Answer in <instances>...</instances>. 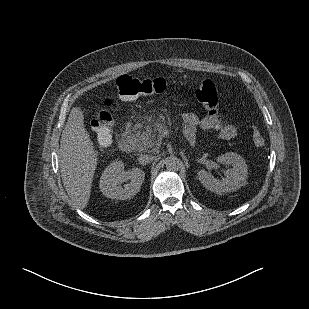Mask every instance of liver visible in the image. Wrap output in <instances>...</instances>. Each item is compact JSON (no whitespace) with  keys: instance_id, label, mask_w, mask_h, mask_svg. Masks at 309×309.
<instances>
[{"instance_id":"1","label":"liver","mask_w":309,"mask_h":309,"mask_svg":"<svg viewBox=\"0 0 309 309\" xmlns=\"http://www.w3.org/2000/svg\"><path fill=\"white\" fill-rule=\"evenodd\" d=\"M97 165V156L89 133L84 127V114L73 107L60 140V168L67 194L79 208L86 207Z\"/></svg>"}]
</instances>
